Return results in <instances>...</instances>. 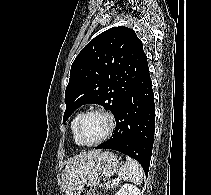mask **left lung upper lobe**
<instances>
[{"label":"left lung upper lobe","instance_id":"5c2ea615","mask_svg":"<svg viewBox=\"0 0 211 195\" xmlns=\"http://www.w3.org/2000/svg\"><path fill=\"white\" fill-rule=\"evenodd\" d=\"M148 69L143 44L127 27H113L91 40L72 63L63 122L80 106L102 105L113 115Z\"/></svg>","mask_w":211,"mask_h":195}]
</instances>
